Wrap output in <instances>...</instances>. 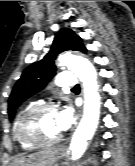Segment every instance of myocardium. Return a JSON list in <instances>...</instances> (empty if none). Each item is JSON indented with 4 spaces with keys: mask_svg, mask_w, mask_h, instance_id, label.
Returning <instances> with one entry per match:
<instances>
[{
    "mask_svg": "<svg viewBox=\"0 0 135 166\" xmlns=\"http://www.w3.org/2000/svg\"><path fill=\"white\" fill-rule=\"evenodd\" d=\"M48 110H58V105L53 102L39 103V104L30 106L21 115V117L18 121L17 131H18V137L24 143L29 144L31 146L41 147V146H52L61 141V139L63 137L62 133L54 139L44 140V139H40V138L30 135L26 130L27 123L33 116H35L38 113L48 111Z\"/></svg>",
    "mask_w": 135,
    "mask_h": 166,
    "instance_id": "obj_1",
    "label": "myocardium"
}]
</instances>
